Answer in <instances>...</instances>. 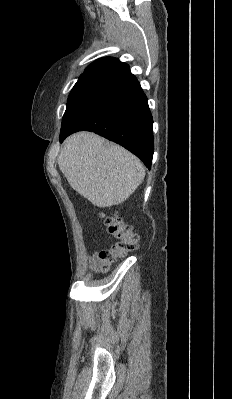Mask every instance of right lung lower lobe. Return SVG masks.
Segmentation results:
<instances>
[{
	"instance_id": "right-lung-lower-lobe-1",
	"label": "right lung lower lobe",
	"mask_w": 232,
	"mask_h": 399,
	"mask_svg": "<svg viewBox=\"0 0 232 399\" xmlns=\"http://www.w3.org/2000/svg\"><path fill=\"white\" fill-rule=\"evenodd\" d=\"M153 119L136 77L126 70L97 83L67 102L60 142L77 131H91L122 145L150 169Z\"/></svg>"
}]
</instances>
